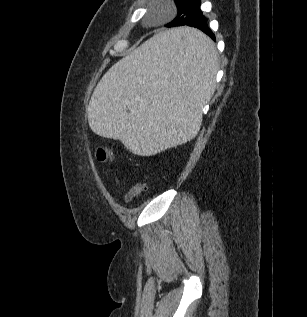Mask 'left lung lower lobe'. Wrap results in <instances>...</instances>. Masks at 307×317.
Wrapping results in <instances>:
<instances>
[{
    "label": "left lung lower lobe",
    "instance_id": "obj_1",
    "mask_svg": "<svg viewBox=\"0 0 307 317\" xmlns=\"http://www.w3.org/2000/svg\"><path fill=\"white\" fill-rule=\"evenodd\" d=\"M191 26L201 30L203 33L208 35L213 41H215V35L211 31L208 26L207 19L204 16L203 12L201 11L200 7L198 8L197 12L194 16H191L189 19L186 17L183 20L182 25L179 26ZM167 27V26H166ZM168 47L171 51H185L191 50L193 52L199 53L202 56H208L210 54L211 46L207 43H204L198 37H191V36H173L167 42Z\"/></svg>",
    "mask_w": 307,
    "mask_h": 317
}]
</instances>
